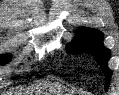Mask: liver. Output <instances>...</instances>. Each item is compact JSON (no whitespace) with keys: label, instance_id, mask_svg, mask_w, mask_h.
Returning <instances> with one entry per match:
<instances>
[{"label":"liver","instance_id":"obj_1","mask_svg":"<svg viewBox=\"0 0 119 95\" xmlns=\"http://www.w3.org/2000/svg\"><path fill=\"white\" fill-rule=\"evenodd\" d=\"M55 89H56V91H57V93H61V94H59V95H63L64 94V92H60V87L59 86H55L54 87ZM7 95H13V94H7ZM66 95V94H65Z\"/></svg>","mask_w":119,"mask_h":95}]
</instances>
